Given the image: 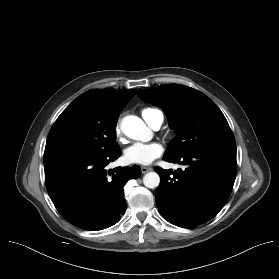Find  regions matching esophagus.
<instances>
[{
  "mask_svg": "<svg viewBox=\"0 0 279 279\" xmlns=\"http://www.w3.org/2000/svg\"><path fill=\"white\" fill-rule=\"evenodd\" d=\"M151 170H152L151 167L141 166V172H142L143 174H145V173H147V172H149V171H151Z\"/></svg>",
  "mask_w": 279,
  "mask_h": 279,
  "instance_id": "34e87169",
  "label": "esophagus"
}]
</instances>
